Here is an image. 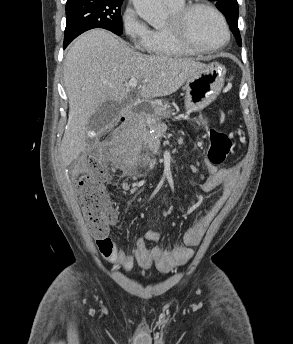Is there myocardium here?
I'll return each instance as SVG.
<instances>
[{"label":"myocardium","mask_w":293,"mask_h":344,"mask_svg":"<svg viewBox=\"0 0 293 344\" xmlns=\"http://www.w3.org/2000/svg\"><path fill=\"white\" fill-rule=\"evenodd\" d=\"M207 9L211 11L220 21L223 26L225 32V39L220 44L213 46V47H202L195 44L187 33V21L190 14L196 9ZM168 33L171 37L177 41L179 44L187 48L188 50L195 52V53H213L221 50L224 48L231 39V31L228 25V22L223 15V13L216 8L214 5L204 2L201 0H197L193 3L186 4L182 8L178 9L177 11L173 12L171 15L170 25L167 27Z\"/></svg>","instance_id":"myocardium-1"}]
</instances>
